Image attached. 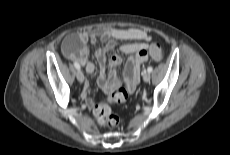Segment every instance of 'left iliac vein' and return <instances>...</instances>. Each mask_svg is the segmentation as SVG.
<instances>
[{"mask_svg":"<svg viewBox=\"0 0 230 155\" xmlns=\"http://www.w3.org/2000/svg\"><path fill=\"white\" fill-rule=\"evenodd\" d=\"M150 78H151L150 73L146 72V73L143 74V80L145 82H149Z\"/></svg>","mask_w":230,"mask_h":155,"instance_id":"left-iliac-vein-1","label":"left iliac vein"}]
</instances>
